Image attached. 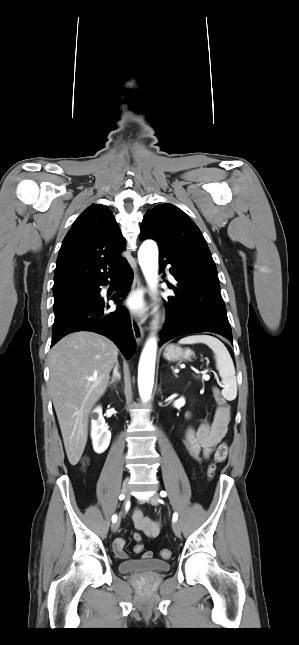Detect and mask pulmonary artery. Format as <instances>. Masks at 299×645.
Here are the masks:
<instances>
[{
	"instance_id": "1",
	"label": "pulmonary artery",
	"mask_w": 299,
	"mask_h": 645,
	"mask_svg": "<svg viewBox=\"0 0 299 645\" xmlns=\"http://www.w3.org/2000/svg\"><path fill=\"white\" fill-rule=\"evenodd\" d=\"M169 278H170V279H173V276H172L171 274H169Z\"/></svg>"
}]
</instances>
